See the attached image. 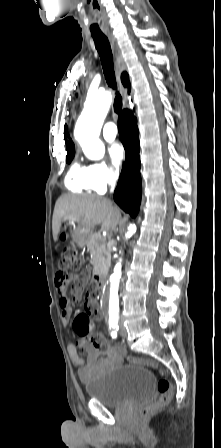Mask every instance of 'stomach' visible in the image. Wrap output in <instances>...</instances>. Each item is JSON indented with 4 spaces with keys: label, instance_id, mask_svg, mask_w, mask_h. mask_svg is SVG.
Wrapping results in <instances>:
<instances>
[{
    "label": "stomach",
    "instance_id": "obj_1",
    "mask_svg": "<svg viewBox=\"0 0 221 448\" xmlns=\"http://www.w3.org/2000/svg\"><path fill=\"white\" fill-rule=\"evenodd\" d=\"M91 235H92L91 228L83 227L81 225L73 226L72 237L77 244L79 245L85 244L89 240Z\"/></svg>",
    "mask_w": 221,
    "mask_h": 448
}]
</instances>
